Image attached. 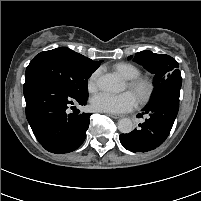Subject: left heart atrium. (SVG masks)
<instances>
[{
	"instance_id": "39dd6f15",
	"label": "left heart atrium",
	"mask_w": 201,
	"mask_h": 201,
	"mask_svg": "<svg viewBox=\"0 0 201 201\" xmlns=\"http://www.w3.org/2000/svg\"><path fill=\"white\" fill-rule=\"evenodd\" d=\"M137 104L136 97L131 92L121 94L99 93L91 100V106L95 111L120 114L132 110Z\"/></svg>"
}]
</instances>
